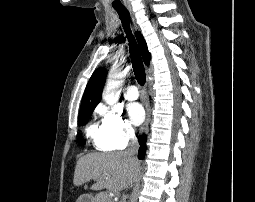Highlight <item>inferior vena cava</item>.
<instances>
[{"mask_svg": "<svg viewBox=\"0 0 255 202\" xmlns=\"http://www.w3.org/2000/svg\"><path fill=\"white\" fill-rule=\"evenodd\" d=\"M130 139H131L130 146L124 153L130 158L132 162L138 164L139 162L136 157V154L138 152L139 145L133 131L130 133Z\"/></svg>", "mask_w": 255, "mask_h": 202, "instance_id": "obj_1", "label": "inferior vena cava"}]
</instances>
